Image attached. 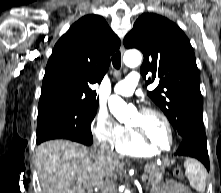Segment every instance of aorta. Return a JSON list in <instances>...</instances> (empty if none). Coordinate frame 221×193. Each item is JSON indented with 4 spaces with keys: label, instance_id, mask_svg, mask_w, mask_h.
I'll return each instance as SVG.
<instances>
[{
    "label": "aorta",
    "instance_id": "aorta-1",
    "mask_svg": "<svg viewBox=\"0 0 221 193\" xmlns=\"http://www.w3.org/2000/svg\"><path fill=\"white\" fill-rule=\"evenodd\" d=\"M124 64L127 67H137L141 64L142 55L138 50H129L124 54ZM108 106L110 112L120 122L124 121L134 111L132 106H129L125 101L117 95H112L108 100ZM125 193H131L130 190L126 189Z\"/></svg>",
    "mask_w": 221,
    "mask_h": 193
}]
</instances>
